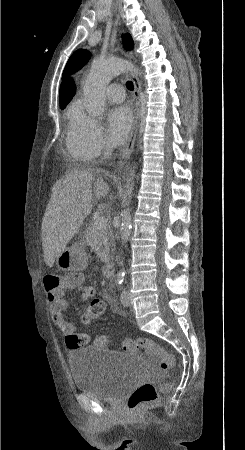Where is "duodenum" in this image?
Wrapping results in <instances>:
<instances>
[{
	"label": "duodenum",
	"mask_w": 245,
	"mask_h": 450,
	"mask_svg": "<svg viewBox=\"0 0 245 450\" xmlns=\"http://www.w3.org/2000/svg\"><path fill=\"white\" fill-rule=\"evenodd\" d=\"M104 274L109 276L110 278H114L115 276V263L110 262L104 267Z\"/></svg>",
	"instance_id": "duodenum-1"
}]
</instances>
